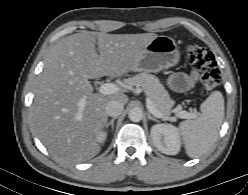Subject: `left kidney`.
Returning a JSON list of instances; mask_svg holds the SVG:
<instances>
[{
	"instance_id": "5707ae66",
	"label": "left kidney",
	"mask_w": 248,
	"mask_h": 195,
	"mask_svg": "<svg viewBox=\"0 0 248 195\" xmlns=\"http://www.w3.org/2000/svg\"><path fill=\"white\" fill-rule=\"evenodd\" d=\"M151 136L155 147L167 155H176L181 148L177 128L171 124H156L151 128Z\"/></svg>"
}]
</instances>
